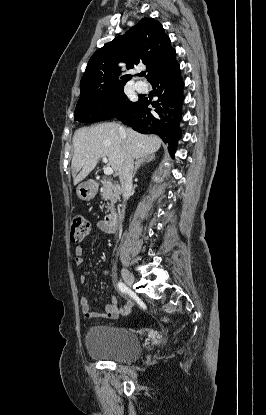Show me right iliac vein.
Returning <instances> with one entry per match:
<instances>
[{
	"mask_svg": "<svg viewBox=\"0 0 266 415\" xmlns=\"http://www.w3.org/2000/svg\"><path fill=\"white\" fill-rule=\"evenodd\" d=\"M121 274L124 282L131 287L134 283L133 274L125 268L122 269Z\"/></svg>",
	"mask_w": 266,
	"mask_h": 415,
	"instance_id": "right-iliac-vein-1",
	"label": "right iliac vein"
}]
</instances>
